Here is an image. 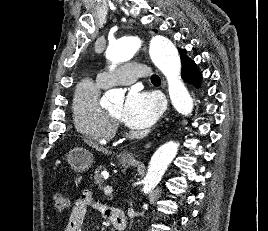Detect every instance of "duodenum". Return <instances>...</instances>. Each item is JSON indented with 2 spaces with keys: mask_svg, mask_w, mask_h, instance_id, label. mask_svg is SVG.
I'll return each mask as SVG.
<instances>
[{
  "mask_svg": "<svg viewBox=\"0 0 268 231\" xmlns=\"http://www.w3.org/2000/svg\"><path fill=\"white\" fill-rule=\"evenodd\" d=\"M110 220L117 230H124L127 224L125 213L121 209H114L111 213Z\"/></svg>",
  "mask_w": 268,
  "mask_h": 231,
  "instance_id": "1",
  "label": "duodenum"
}]
</instances>
